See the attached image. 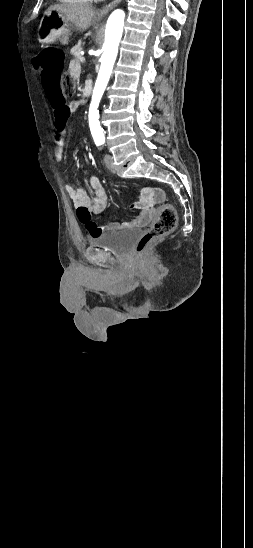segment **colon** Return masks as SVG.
<instances>
[{
    "mask_svg": "<svg viewBox=\"0 0 253 548\" xmlns=\"http://www.w3.org/2000/svg\"><path fill=\"white\" fill-rule=\"evenodd\" d=\"M37 65L42 69L40 82L51 105H57L56 123L58 126H69L71 118L68 108L74 94V81L69 73L63 72L64 55L56 49H45L36 57ZM177 214L173 206L167 203L158 205L156 217L150 228L137 243L136 250L143 253L157 239L162 238L176 227Z\"/></svg>",
    "mask_w": 253,
    "mask_h": 548,
    "instance_id": "obj_1",
    "label": "colon"
}]
</instances>
